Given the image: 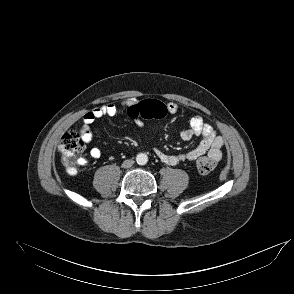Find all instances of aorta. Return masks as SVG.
<instances>
[{"mask_svg": "<svg viewBox=\"0 0 294 294\" xmlns=\"http://www.w3.org/2000/svg\"><path fill=\"white\" fill-rule=\"evenodd\" d=\"M136 162L139 165H145L148 162V156L145 153H139L136 156Z\"/></svg>", "mask_w": 294, "mask_h": 294, "instance_id": "obj_1", "label": "aorta"}]
</instances>
